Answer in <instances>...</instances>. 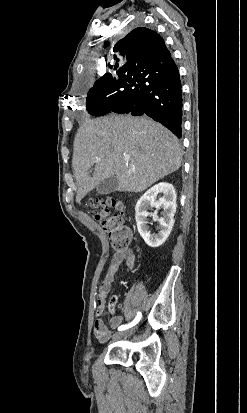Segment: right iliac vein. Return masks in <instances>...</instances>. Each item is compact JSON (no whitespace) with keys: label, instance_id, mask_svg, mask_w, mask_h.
<instances>
[{"label":"right iliac vein","instance_id":"1","mask_svg":"<svg viewBox=\"0 0 247 413\" xmlns=\"http://www.w3.org/2000/svg\"><path fill=\"white\" fill-rule=\"evenodd\" d=\"M134 332H135L134 329H131V330H129V331L118 332V333H116V334L114 335V338H115V339L125 338V337L130 336V335H131L132 333H134Z\"/></svg>","mask_w":247,"mask_h":413}]
</instances>
